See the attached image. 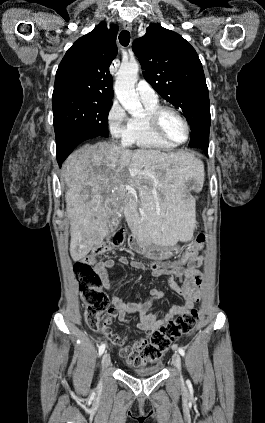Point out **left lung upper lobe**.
<instances>
[{"instance_id": "1", "label": "left lung upper lobe", "mask_w": 265, "mask_h": 423, "mask_svg": "<svg viewBox=\"0 0 265 423\" xmlns=\"http://www.w3.org/2000/svg\"><path fill=\"white\" fill-rule=\"evenodd\" d=\"M132 48L143 75L162 98L180 108L191 126L190 147L209 141V93L195 49L179 34L151 24Z\"/></svg>"}]
</instances>
